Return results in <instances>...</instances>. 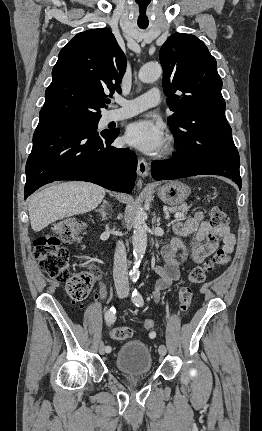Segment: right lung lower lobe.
Instances as JSON below:
<instances>
[{
	"instance_id": "98d812e1",
	"label": "right lung lower lobe",
	"mask_w": 262,
	"mask_h": 431,
	"mask_svg": "<svg viewBox=\"0 0 262 431\" xmlns=\"http://www.w3.org/2000/svg\"><path fill=\"white\" fill-rule=\"evenodd\" d=\"M119 131L98 133L76 121H40L26 163V199L41 186L59 180L87 181L130 193L137 157L128 148L110 146Z\"/></svg>"
}]
</instances>
